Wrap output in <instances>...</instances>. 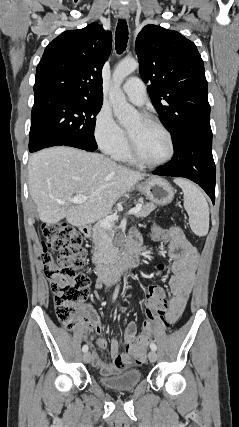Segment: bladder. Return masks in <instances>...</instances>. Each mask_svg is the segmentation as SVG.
<instances>
[{"instance_id": "31cf9c89", "label": "bladder", "mask_w": 239, "mask_h": 427, "mask_svg": "<svg viewBox=\"0 0 239 427\" xmlns=\"http://www.w3.org/2000/svg\"><path fill=\"white\" fill-rule=\"evenodd\" d=\"M142 374L138 369H128L116 375H104L100 377V382L112 390H129L134 388L141 381Z\"/></svg>"}]
</instances>
